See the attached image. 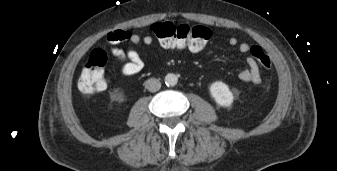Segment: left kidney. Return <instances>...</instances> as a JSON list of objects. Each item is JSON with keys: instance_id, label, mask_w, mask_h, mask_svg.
<instances>
[{"instance_id": "left-kidney-1", "label": "left kidney", "mask_w": 337, "mask_h": 171, "mask_svg": "<svg viewBox=\"0 0 337 171\" xmlns=\"http://www.w3.org/2000/svg\"><path fill=\"white\" fill-rule=\"evenodd\" d=\"M210 93L216 103L222 107H229L234 101V96L229 90L227 84L222 81H216L210 86Z\"/></svg>"}]
</instances>
